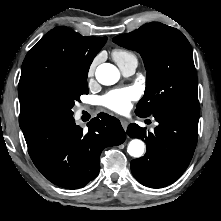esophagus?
Here are the masks:
<instances>
[{"label":"esophagus","instance_id":"obj_1","mask_svg":"<svg viewBox=\"0 0 221 221\" xmlns=\"http://www.w3.org/2000/svg\"><path fill=\"white\" fill-rule=\"evenodd\" d=\"M121 124H122V127L124 128V130H126L128 127V122L124 119H121Z\"/></svg>","mask_w":221,"mask_h":221}]
</instances>
